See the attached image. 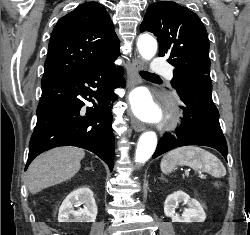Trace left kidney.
Segmentation results:
<instances>
[{
  "label": "left kidney",
  "instance_id": "left-kidney-1",
  "mask_svg": "<svg viewBox=\"0 0 250 235\" xmlns=\"http://www.w3.org/2000/svg\"><path fill=\"white\" fill-rule=\"evenodd\" d=\"M181 202L187 204L188 208L184 210L181 216H179L175 213V209ZM164 213L167 217L172 219V222H204L206 219V214L201 204L197 200L190 198L188 194L181 190L170 194L166 198L164 203Z\"/></svg>",
  "mask_w": 250,
  "mask_h": 235
}]
</instances>
